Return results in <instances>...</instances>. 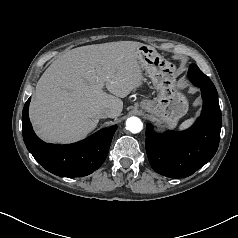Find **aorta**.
I'll use <instances>...</instances> for the list:
<instances>
[{
	"instance_id": "aorta-1",
	"label": "aorta",
	"mask_w": 238,
	"mask_h": 238,
	"mask_svg": "<svg viewBox=\"0 0 238 238\" xmlns=\"http://www.w3.org/2000/svg\"><path fill=\"white\" fill-rule=\"evenodd\" d=\"M126 129L131 133H139L143 129V123L138 117H130L126 120Z\"/></svg>"
}]
</instances>
